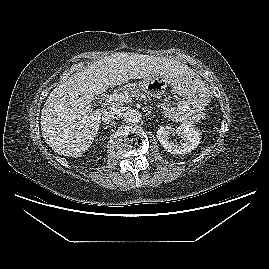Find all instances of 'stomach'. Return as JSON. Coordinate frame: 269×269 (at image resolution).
I'll use <instances>...</instances> for the list:
<instances>
[{"instance_id": "stomach-1", "label": "stomach", "mask_w": 269, "mask_h": 269, "mask_svg": "<svg viewBox=\"0 0 269 269\" xmlns=\"http://www.w3.org/2000/svg\"><path fill=\"white\" fill-rule=\"evenodd\" d=\"M171 85L172 91L179 96L176 112L183 119L192 122L198 119L199 113L209 104L211 92L208 86L194 75H187L176 79L161 76H149L140 82L141 88L156 94Z\"/></svg>"}]
</instances>
